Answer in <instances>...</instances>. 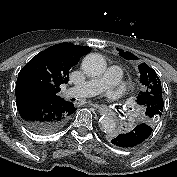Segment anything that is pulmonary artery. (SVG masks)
<instances>
[{
	"instance_id": "e3ab8cb5",
	"label": "pulmonary artery",
	"mask_w": 177,
	"mask_h": 177,
	"mask_svg": "<svg viewBox=\"0 0 177 177\" xmlns=\"http://www.w3.org/2000/svg\"><path fill=\"white\" fill-rule=\"evenodd\" d=\"M122 77L123 70L117 65H111L101 77L93 78L73 86L66 91V94L76 98L92 97L115 86L120 82Z\"/></svg>"
}]
</instances>
